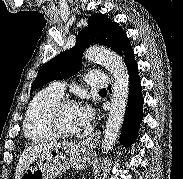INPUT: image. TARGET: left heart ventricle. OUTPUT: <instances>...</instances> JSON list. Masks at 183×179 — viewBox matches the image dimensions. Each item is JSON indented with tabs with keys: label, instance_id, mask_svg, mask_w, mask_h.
I'll use <instances>...</instances> for the list:
<instances>
[{
	"label": "left heart ventricle",
	"instance_id": "1",
	"mask_svg": "<svg viewBox=\"0 0 183 179\" xmlns=\"http://www.w3.org/2000/svg\"><path fill=\"white\" fill-rule=\"evenodd\" d=\"M57 126L63 132H76L80 130L78 108L76 105H66L59 111Z\"/></svg>",
	"mask_w": 183,
	"mask_h": 179
}]
</instances>
